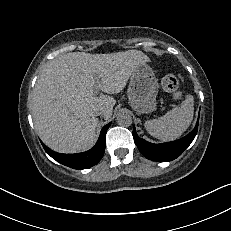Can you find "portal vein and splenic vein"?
<instances>
[{
  "mask_svg": "<svg viewBox=\"0 0 231 231\" xmlns=\"http://www.w3.org/2000/svg\"><path fill=\"white\" fill-rule=\"evenodd\" d=\"M94 90H95L96 93L98 92V90H99V85H98V84H96V85L94 86Z\"/></svg>",
  "mask_w": 231,
  "mask_h": 231,
  "instance_id": "obj_1",
  "label": "portal vein and splenic vein"
}]
</instances>
